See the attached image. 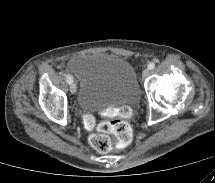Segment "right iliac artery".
Instances as JSON below:
<instances>
[{
	"mask_svg": "<svg viewBox=\"0 0 215 183\" xmlns=\"http://www.w3.org/2000/svg\"><path fill=\"white\" fill-rule=\"evenodd\" d=\"M67 82L71 84L73 82V77L71 75L67 76Z\"/></svg>",
	"mask_w": 215,
	"mask_h": 183,
	"instance_id": "1",
	"label": "right iliac artery"
}]
</instances>
